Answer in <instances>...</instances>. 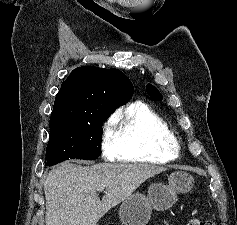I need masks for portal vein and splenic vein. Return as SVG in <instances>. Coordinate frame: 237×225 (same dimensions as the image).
<instances>
[{"label":"portal vein and splenic vein","instance_id":"1","mask_svg":"<svg viewBox=\"0 0 237 225\" xmlns=\"http://www.w3.org/2000/svg\"><path fill=\"white\" fill-rule=\"evenodd\" d=\"M105 188H106V186H105V185H102V186H100V187L98 188V191H99V192H102Z\"/></svg>","mask_w":237,"mask_h":225}]
</instances>
